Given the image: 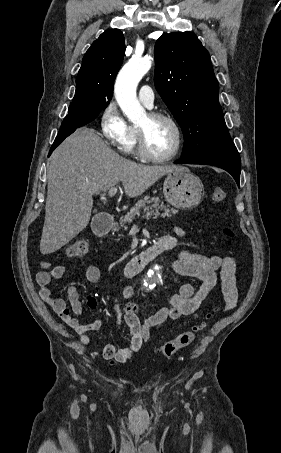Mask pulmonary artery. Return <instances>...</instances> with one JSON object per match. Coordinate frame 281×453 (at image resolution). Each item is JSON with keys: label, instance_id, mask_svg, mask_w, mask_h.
<instances>
[{"label": "pulmonary artery", "instance_id": "e3ab8cb5", "mask_svg": "<svg viewBox=\"0 0 281 453\" xmlns=\"http://www.w3.org/2000/svg\"><path fill=\"white\" fill-rule=\"evenodd\" d=\"M149 90L148 84L143 85L139 90L138 99L148 108H152L154 95Z\"/></svg>", "mask_w": 281, "mask_h": 453}]
</instances>
